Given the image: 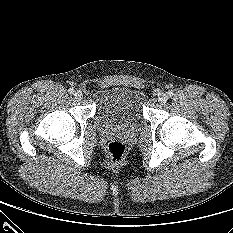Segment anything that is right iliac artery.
I'll use <instances>...</instances> for the list:
<instances>
[{
  "instance_id": "right-iliac-artery-1",
  "label": "right iliac artery",
  "mask_w": 233,
  "mask_h": 233,
  "mask_svg": "<svg viewBox=\"0 0 233 233\" xmlns=\"http://www.w3.org/2000/svg\"><path fill=\"white\" fill-rule=\"evenodd\" d=\"M74 92H75V90H74L73 88H70V89H69V93H70V94H74Z\"/></svg>"
}]
</instances>
